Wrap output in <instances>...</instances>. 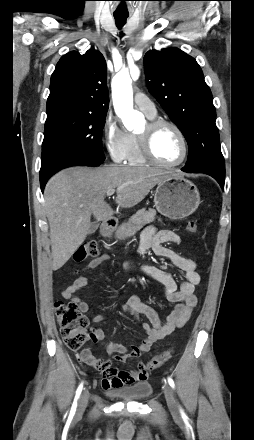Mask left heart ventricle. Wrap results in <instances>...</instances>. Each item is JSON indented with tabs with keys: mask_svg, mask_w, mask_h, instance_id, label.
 <instances>
[{
	"mask_svg": "<svg viewBox=\"0 0 254 440\" xmlns=\"http://www.w3.org/2000/svg\"><path fill=\"white\" fill-rule=\"evenodd\" d=\"M147 125L140 131L146 130ZM153 150L159 160L164 163H176L182 156V143L177 133L170 127H161L153 139Z\"/></svg>",
	"mask_w": 254,
	"mask_h": 440,
	"instance_id": "obj_1",
	"label": "left heart ventricle"
}]
</instances>
